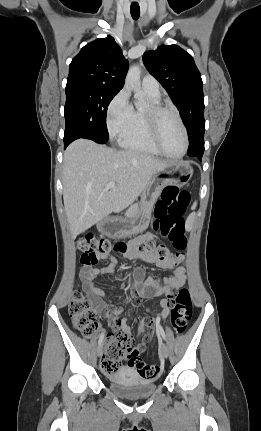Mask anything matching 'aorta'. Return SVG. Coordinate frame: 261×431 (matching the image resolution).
I'll return each instance as SVG.
<instances>
[{
    "label": "aorta",
    "instance_id": "obj_1",
    "mask_svg": "<svg viewBox=\"0 0 261 431\" xmlns=\"http://www.w3.org/2000/svg\"><path fill=\"white\" fill-rule=\"evenodd\" d=\"M140 75V68L138 66H132L126 76V85L131 87L134 91L137 106L141 105L144 101L143 92L141 90Z\"/></svg>",
    "mask_w": 261,
    "mask_h": 431
}]
</instances>
